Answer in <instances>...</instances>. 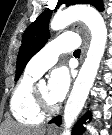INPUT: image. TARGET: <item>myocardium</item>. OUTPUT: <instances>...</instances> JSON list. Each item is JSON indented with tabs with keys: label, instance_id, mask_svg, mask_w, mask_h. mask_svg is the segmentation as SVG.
I'll use <instances>...</instances> for the list:
<instances>
[{
	"label": "myocardium",
	"instance_id": "1",
	"mask_svg": "<svg viewBox=\"0 0 112 135\" xmlns=\"http://www.w3.org/2000/svg\"><path fill=\"white\" fill-rule=\"evenodd\" d=\"M34 104L37 110L43 115H50L55 113L59 106L57 104L50 105L48 104L39 94L38 85H34L32 92Z\"/></svg>",
	"mask_w": 112,
	"mask_h": 135
}]
</instances>
